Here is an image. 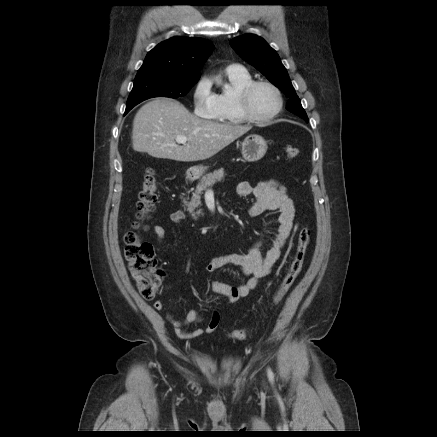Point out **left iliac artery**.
Here are the masks:
<instances>
[{"instance_id":"1","label":"left iliac artery","mask_w":437,"mask_h":437,"mask_svg":"<svg viewBox=\"0 0 437 437\" xmlns=\"http://www.w3.org/2000/svg\"><path fill=\"white\" fill-rule=\"evenodd\" d=\"M267 373H268V378H269L270 382L273 383L274 382V374H273L272 370L270 368H268Z\"/></svg>"}]
</instances>
